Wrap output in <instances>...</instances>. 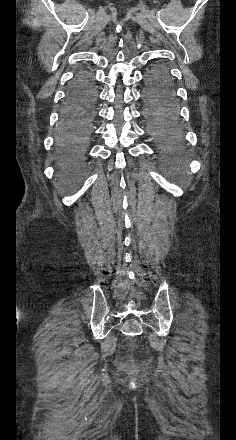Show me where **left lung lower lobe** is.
Listing matches in <instances>:
<instances>
[{
  "label": "left lung lower lobe",
  "instance_id": "obj_1",
  "mask_svg": "<svg viewBox=\"0 0 236 440\" xmlns=\"http://www.w3.org/2000/svg\"><path fill=\"white\" fill-rule=\"evenodd\" d=\"M143 99L148 131L163 142L176 140L179 136L176 90L162 65L155 66L148 73Z\"/></svg>",
  "mask_w": 236,
  "mask_h": 440
}]
</instances>
